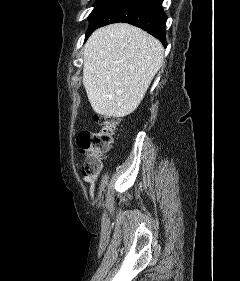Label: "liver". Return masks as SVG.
<instances>
[{
  "mask_svg": "<svg viewBox=\"0 0 240 281\" xmlns=\"http://www.w3.org/2000/svg\"><path fill=\"white\" fill-rule=\"evenodd\" d=\"M161 42L127 23L97 29L85 44L83 85L93 110L124 117L141 103L163 64Z\"/></svg>",
  "mask_w": 240,
  "mask_h": 281,
  "instance_id": "1",
  "label": "liver"
}]
</instances>
